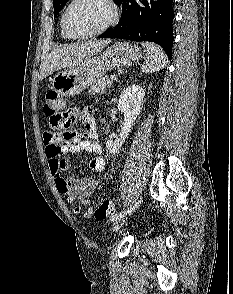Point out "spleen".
<instances>
[{"label": "spleen", "instance_id": "obj_1", "mask_svg": "<svg viewBox=\"0 0 233 294\" xmlns=\"http://www.w3.org/2000/svg\"><path fill=\"white\" fill-rule=\"evenodd\" d=\"M141 45L147 53V59L141 67L142 72L152 73L165 67L166 56L161 47L150 42H143Z\"/></svg>", "mask_w": 233, "mask_h": 294}]
</instances>
